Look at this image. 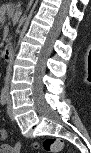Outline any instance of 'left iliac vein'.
Segmentation results:
<instances>
[{"mask_svg":"<svg viewBox=\"0 0 91 153\" xmlns=\"http://www.w3.org/2000/svg\"><path fill=\"white\" fill-rule=\"evenodd\" d=\"M7 113L11 119H13V109H12V100L11 97L7 96Z\"/></svg>","mask_w":91,"mask_h":153,"instance_id":"left-iliac-vein-1","label":"left iliac vein"}]
</instances>
